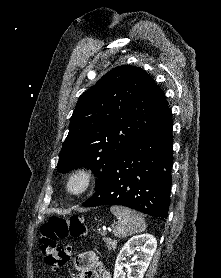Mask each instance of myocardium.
Wrapping results in <instances>:
<instances>
[{
    "label": "myocardium",
    "mask_w": 221,
    "mask_h": 278,
    "mask_svg": "<svg viewBox=\"0 0 221 278\" xmlns=\"http://www.w3.org/2000/svg\"><path fill=\"white\" fill-rule=\"evenodd\" d=\"M95 181V172L88 166H78L68 175L65 183L66 191L73 197L86 194Z\"/></svg>",
    "instance_id": "f54148a6"
}]
</instances>
